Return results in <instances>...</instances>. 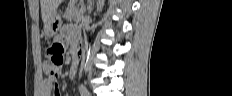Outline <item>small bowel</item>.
<instances>
[{
	"label": "small bowel",
	"instance_id": "c3829d8e",
	"mask_svg": "<svg viewBox=\"0 0 232 96\" xmlns=\"http://www.w3.org/2000/svg\"><path fill=\"white\" fill-rule=\"evenodd\" d=\"M82 34L81 30H77V28L73 25H66L61 29V32L58 36L54 39V44H60L63 46L66 44H70L72 46H78L79 43H84V38H79V35ZM44 70L49 72V63L46 62L43 65ZM55 83V77L49 76L45 78L41 82L40 86V95L41 96H51L53 85ZM53 96H64L63 93H53Z\"/></svg>",
	"mask_w": 232,
	"mask_h": 96
}]
</instances>
